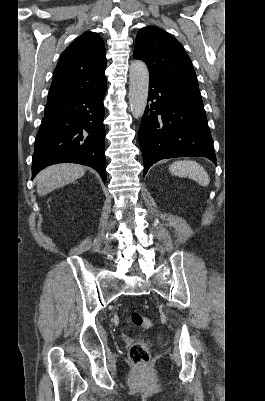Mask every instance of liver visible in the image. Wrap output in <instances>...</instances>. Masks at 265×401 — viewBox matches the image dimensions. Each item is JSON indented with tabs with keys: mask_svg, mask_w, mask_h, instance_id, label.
I'll list each match as a JSON object with an SVG mask.
<instances>
[{
	"mask_svg": "<svg viewBox=\"0 0 265 401\" xmlns=\"http://www.w3.org/2000/svg\"><path fill=\"white\" fill-rule=\"evenodd\" d=\"M86 166L81 164H53L41 170L36 176L37 180V192L39 196L48 194L54 188H60L64 184H69L76 178H81L85 172Z\"/></svg>",
	"mask_w": 265,
	"mask_h": 401,
	"instance_id": "liver-1",
	"label": "liver"
}]
</instances>
